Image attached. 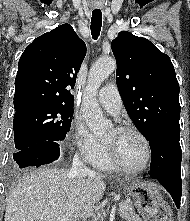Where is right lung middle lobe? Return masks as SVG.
Returning <instances> with one entry per match:
<instances>
[{
	"label": "right lung middle lobe",
	"mask_w": 190,
	"mask_h": 221,
	"mask_svg": "<svg viewBox=\"0 0 190 221\" xmlns=\"http://www.w3.org/2000/svg\"><path fill=\"white\" fill-rule=\"evenodd\" d=\"M73 107L38 105L14 114V141L24 150L44 141H62L70 130Z\"/></svg>",
	"instance_id": "1"
}]
</instances>
